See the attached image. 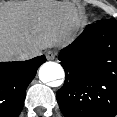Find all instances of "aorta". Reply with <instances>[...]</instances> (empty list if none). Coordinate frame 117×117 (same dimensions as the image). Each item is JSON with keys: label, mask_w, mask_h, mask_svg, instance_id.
Segmentation results:
<instances>
[{"label": "aorta", "mask_w": 117, "mask_h": 117, "mask_svg": "<svg viewBox=\"0 0 117 117\" xmlns=\"http://www.w3.org/2000/svg\"><path fill=\"white\" fill-rule=\"evenodd\" d=\"M65 73L63 67L56 62H46L39 68V79L43 83L55 81L64 78Z\"/></svg>", "instance_id": "obj_1"}]
</instances>
